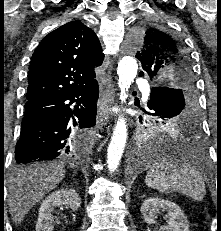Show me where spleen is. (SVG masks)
I'll use <instances>...</instances> for the list:
<instances>
[{
    "instance_id": "3e777b00",
    "label": "spleen",
    "mask_w": 221,
    "mask_h": 231,
    "mask_svg": "<svg viewBox=\"0 0 221 231\" xmlns=\"http://www.w3.org/2000/svg\"><path fill=\"white\" fill-rule=\"evenodd\" d=\"M145 183L161 193L179 192L196 201H201L206 194L201 173L190 163L174 158L155 163L147 172Z\"/></svg>"
}]
</instances>
